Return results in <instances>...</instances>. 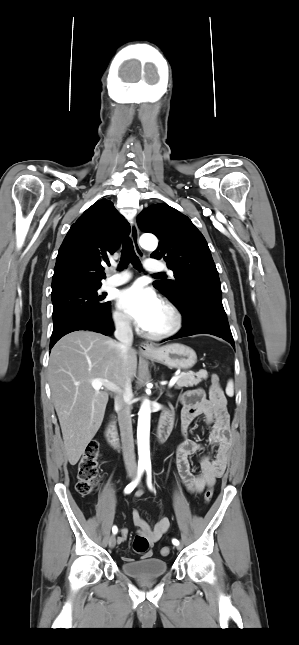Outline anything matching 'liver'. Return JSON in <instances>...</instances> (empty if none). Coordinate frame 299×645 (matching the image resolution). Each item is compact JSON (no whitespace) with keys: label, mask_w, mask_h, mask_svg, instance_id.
Masks as SVG:
<instances>
[{"label":"liver","mask_w":299,"mask_h":645,"mask_svg":"<svg viewBox=\"0 0 299 645\" xmlns=\"http://www.w3.org/2000/svg\"><path fill=\"white\" fill-rule=\"evenodd\" d=\"M52 400L62 430L66 456L75 465L100 428L109 389H94L104 379L119 389L137 372V352L130 348L126 366L117 342L99 333L75 331L52 348L48 367Z\"/></svg>","instance_id":"obj_1"}]
</instances>
